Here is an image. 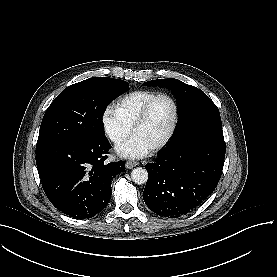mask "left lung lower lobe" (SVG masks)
Segmentation results:
<instances>
[{"label": "left lung lower lobe", "mask_w": 277, "mask_h": 277, "mask_svg": "<svg viewBox=\"0 0 277 277\" xmlns=\"http://www.w3.org/2000/svg\"><path fill=\"white\" fill-rule=\"evenodd\" d=\"M211 148L225 153L223 131L202 128L162 150L154 163L146 164L148 180L143 192L146 205L158 215L177 218L202 203L220 180L209 179L210 176H221L224 162L199 161L198 167L207 173L191 175L180 170L179 161L198 159L202 150Z\"/></svg>", "instance_id": "left-lung-lower-lobe-1"}]
</instances>
